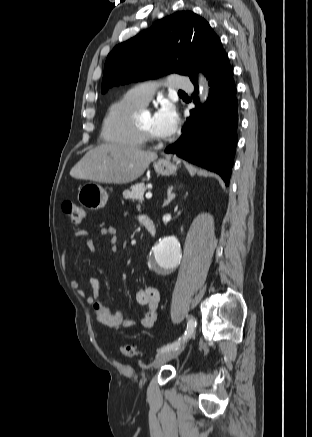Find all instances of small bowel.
Segmentation results:
<instances>
[{
	"label": "small bowel",
	"mask_w": 312,
	"mask_h": 437,
	"mask_svg": "<svg viewBox=\"0 0 312 437\" xmlns=\"http://www.w3.org/2000/svg\"><path fill=\"white\" fill-rule=\"evenodd\" d=\"M143 217L139 216L140 222ZM98 233L109 236L110 250L116 251L118 241L116 228L114 226H106L101 228ZM95 235V233L87 230H79L74 233L72 241H85L89 247H93L92 238ZM87 283L91 290L90 294H86L75 280H71V286L77 290L87 304L92 306L97 321L102 325L112 330L133 328L138 324L143 328H151L154 325L159 307V293L155 287L147 285L137 290L135 295L136 301L146 308L144 314L137 320L131 316H124L120 311L111 310L99 301L100 282L97 278L90 277Z\"/></svg>",
	"instance_id": "c3829d8e"
}]
</instances>
